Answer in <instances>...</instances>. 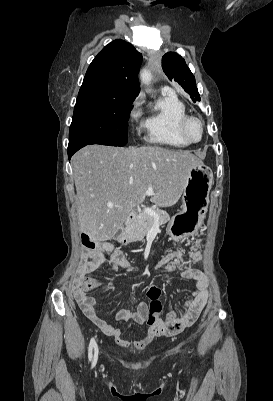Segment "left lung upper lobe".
I'll list each match as a JSON object with an SVG mask.
<instances>
[{
    "mask_svg": "<svg viewBox=\"0 0 273 401\" xmlns=\"http://www.w3.org/2000/svg\"><path fill=\"white\" fill-rule=\"evenodd\" d=\"M162 68L167 77L179 83L194 102L200 101L195 77L180 55L174 52L166 53L162 57Z\"/></svg>",
    "mask_w": 273,
    "mask_h": 401,
    "instance_id": "left-lung-upper-lobe-1",
    "label": "left lung upper lobe"
}]
</instances>
